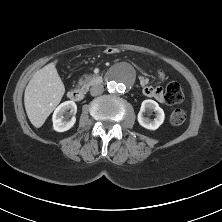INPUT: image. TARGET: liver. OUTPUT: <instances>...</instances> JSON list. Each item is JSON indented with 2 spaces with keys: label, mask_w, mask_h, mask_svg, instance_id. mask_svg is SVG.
<instances>
[{
  "label": "liver",
  "mask_w": 222,
  "mask_h": 222,
  "mask_svg": "<svg viewBox=\"0 0 222 222\" xmlns=\"http://www.w3.org/2000/svg\"><path fill=\"white\" fill-rule=\"evenodd\" d=\"M56 62H51L36 71L25 89V110L36 128L44 124L65 93L64 84L55 67Z\"/></svg>",
  "instance_id": "6515ba94"
}]
</instances>
